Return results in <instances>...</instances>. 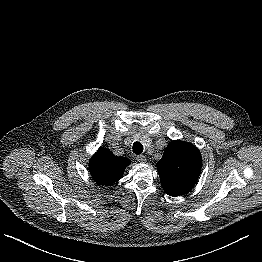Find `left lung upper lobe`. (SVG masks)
<instances>
[{"instance_id":"5c2ea615","label":"left lung upper lobe","mask_w":262,"mask_h":262,"mask_svg":"<svg viewBox=\"0 0 262 262\" xmlns=\"http://www.w3.org/2000/svg\"><path fill=\"white\" fill-rule=\"evenodd\" d=\"M201 166V153L195 146L180 140L170 142L157 162L164 191L173 197L187 194L196 184Z\"/></svg>"}]
</instances>
